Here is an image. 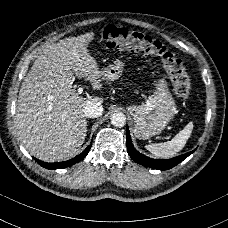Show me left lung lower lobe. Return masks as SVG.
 Here are the masks:
<instances>
[{"label": "left lung lower lobe", "instance_id": "left-lung-lower-lobe-1", "mask_svg": "<svg viewBox=\"0 0 228 228\" xmlns=\"http://www.w3.org/2000/svg\"><path fill=\"white\" fill-rule=\"evenodd\" d=\"M126 139H127V142H126L127 151H128L129 156L138 164L146 166V167L154 168V169H160V170L170 169V168L176 166L181 161H183L186 157H188L190 154H192L195 151V150H193L191 152H188L186 154H183V155H180L175 158L168 159V160L152 159V158H149V157L139 153L133 147L128 128L126 131Z\"/></svg>", "mask_w": 228, "mask_h": 228}]
</instances>
